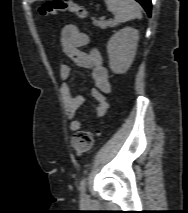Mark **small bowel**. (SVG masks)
I'll list each match as a JSON object with an SVG mask.
<instances>
[{"label": "small bowel", "instance_id": "small-bowel-1", "mask_svg": "<svg viewBox=\"0 0 188 213\" xmlns=\"http://www.w3.org/2000/svg\"><path fill=\"white\" fill-rule=\"evenodd\" d=\"M63 52L72 59L78 66L91 70L94 80L92 96L95 100L94 109L96 118L103 117L108 108L107 95L110 93L111 84L109 73L102 63L101 53L93 49L90 52L83 51V47L90 42L89 36L75 25L63 27L60 36ZM72 68L68 64L60 66L59 75L64 81L71 77ZM62 95L65 104L66 118L70 122L71 131H78L82 125L90 124L92 121H80L74 119L77 110L84 104V98L75 94L68 84H63Z\"/></svg>", "mask_w": 188, "mask_h": 213}]
</instances>
